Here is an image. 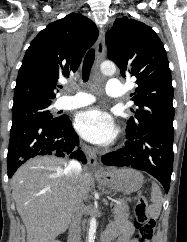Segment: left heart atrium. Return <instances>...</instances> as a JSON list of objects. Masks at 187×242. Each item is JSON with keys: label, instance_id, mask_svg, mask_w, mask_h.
I'll return each instance as SVG.
<instances>
[{"label": "left heart atrium", "instance_id": "39dd6f15", "mask_svg": "<svg viewBox=\"0 0 187 242\" xmlns=\"http://www.w3.org/2000/svg\"><path fill=\"white\" fill-rule=\"evenodd\" d=\"M75 128L83 138L96 144L111 142L117 133L111 116L99 108L80 112L75 119Z\"/></svg>", "mask_w": 187, "mask_h": 242}]
</instances>
